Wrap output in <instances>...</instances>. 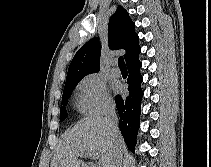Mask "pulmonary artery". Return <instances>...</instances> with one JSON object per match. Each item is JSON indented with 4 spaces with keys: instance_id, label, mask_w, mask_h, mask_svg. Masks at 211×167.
Returning <instances> with one entry per match:
<instances>
[{
    "instance_id": "e3ab8cb5",
    "label": "pulmonary artery",
    "mask_w": 211,
    "mask_h": 167,
    "mask_svg": "<svg viewBox=\"0 0 211 167\" xmlns=\"http://www.w3.org/2000/svg\"><path fill=\"white\" fill-rule=\"evenodd\" d=\"M111 73L116 77L120 76L121 72H120L119 68L116 67V64H114V67L111 69Z\"/></svg>"
}]
</instances>
